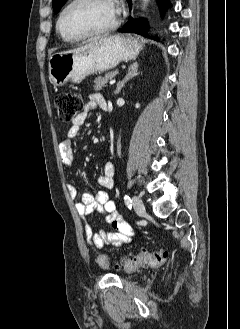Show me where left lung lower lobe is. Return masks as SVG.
I'll list each match as a JSON object with an SVG mask.
<instances>
[{
  "label": "left lung lower lobe",
  "mask_w": 240,
  "mask_h": 329,
  "mask_svg": "<svg viewBox=\"0 0 240 329\" xmlns=\"http://www.w3.org/2000/svg\"><path fill=\"white\" fill-rule=\"evenodd\" d=\"M129 2V9L131 10L132 1L128 0ZM161 13H164L165 8L168 5V0H157ZM148 27L147 23L143 19H136L130 17L129 21L125 24V26L119 30V32H133L137 34L143 35L145 33L146 28ZM157 40V39H156Z\"/></svg>",
  "instance_id": "1"
}]
</instances>
